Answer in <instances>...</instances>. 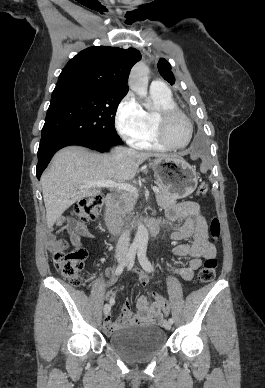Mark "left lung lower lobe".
Listing matches in <instances>:
<instances>
[{"label":"left lung lower lobe","instance_id":"obj_1","mask_svg":"<svg viewBox=\"0 0 265 388\" xmlns=\"http://www.w3.org/2000/svg\"><path fill=\"white\" fill-rule=\"evenodd\" d=\"M193 147L197 151H202L204 149V142L200 135H198L197 138L195 139Z\"/></svg>","mask_w":265,"mask_h":388}]
</instances>
